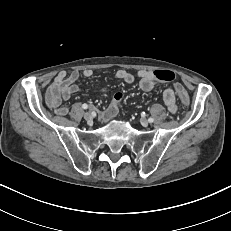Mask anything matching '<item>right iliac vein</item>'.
<instances>
[{
    "label": "right iliac vein",
    "mask_w": 231,
    "mask_h": 231,
    "mask_svg": "<svg viewBox=\"0 0 231 231\" xmlns=\"http://www.w3.org/2000/svg\"><path fill=\"white\" fill-rule=\"evenodd\" d=\"M83 116H84V119L87 120V121L92 120V115L89 112H85Z\"/></svg>",
    "instance_id": "1"
}]
</instances>
